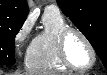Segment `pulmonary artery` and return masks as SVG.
<instances>
[{
	"label": "pulmonary artery",
	"mask_w": 107,
	"mask_h": 75,
	"mask_svg": "<svg viewBox=\"0 0 107 75\" xmlns=\"http://www.w3.org/2000/svg\"><path fill=\"white\" fill-rule=\"evenodd\" d=\"M45 11H54V12H58V9L56 6L54 5H49L45 8Z\"/></svg>",
	"instance_id": "obj_1"
}]
</instances>
